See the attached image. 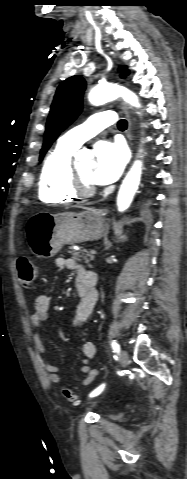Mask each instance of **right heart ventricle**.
Here are the masks:
<instances>
[{"instance_id":"e07e8e85","label":"right heart ventricle","mask_w":187,"mask_h":479,"mask_svg":"<svg viewBox=\"0 0 187 479\" xmlns=\"http://www.w3.org/2000/svg\"><path fill=\"white\" fill-rule=\"evenodd\" d=\"M75 151L58 140L47 155L38 181V196L42 202L61 204L78 198L71 187V158Z\"/></svg>"}]
</instances>
